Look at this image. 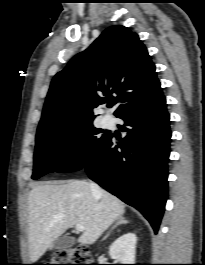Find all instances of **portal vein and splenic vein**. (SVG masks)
Instances as JSON below:
<instances>
[{"label": "portal vein and splenic vein", "mask_w": 205, "mask_h": 265, "mask_svg": "<svg viewBox=\"0 0 205 265\" xmlns=\"http://www.w3.org/2000/svg\"><path fill=\"white\" fill-rule=\"evenodd\" d=\"M75 229H76L78 232H81V231L84 230V226L81 225V224H77V225L75 226Z\"/></svg>", "instance_id": "18ae733b"}]
</instances>
